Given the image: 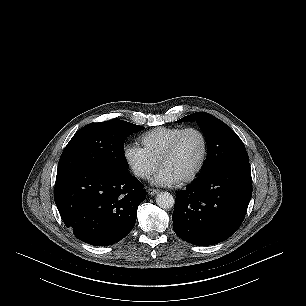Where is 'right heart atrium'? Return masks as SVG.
I'll return each mask as SVG.
<instances>
[{
  "label": "right heart atrium",
  "instance_id": "obj_1",
  "mask_svg": "<svg viewBox=\"0 0 306 306\" xmlns=\"http://www.w3.org/2000/svg\"><path fill=\"white\" fill-rule=\"evenodd\" d=\"M123 157L132 174L138 179L149 178L159 166V162L144 147L137 144H127Z\"/></svg>",
  "mask_w": 306,
  "mask_h": 306
}]
</instances>
